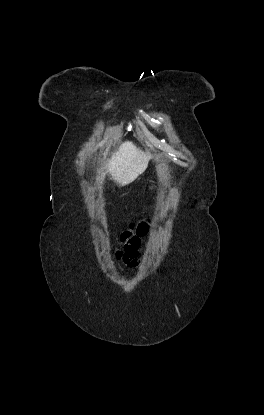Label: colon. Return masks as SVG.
Returning a JSON list of instances; mask_svg holds the SVG:
<instances>
[{"label": "colon", "instance_id": "5ec220e1", "mask_svg": "<svg viewBox=\"0 0 264 415\" xmlns=\"http://www.w3.org/2000/svg\"><path fill=\"white\" fill-rule=\"evenodd\" d=\"M147 233L146 226H132L131 229L124 231L121 234L120 241L124 246V254L122 258L128 262L131 259L134 250L136 249L139 241L143 238Z\"/></svg>", "mask_w": 264, "mask_h": 415}]
</instances>
